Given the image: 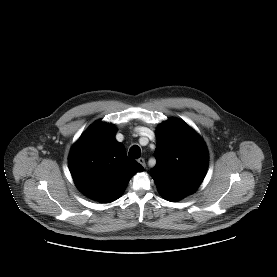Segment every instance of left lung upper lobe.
Masks as SVG:
<instances>
[{
  "instance_id": "1",
  "label": "left lung upper lobe",
  "mask_w": 277,
  "mask_h": 277,
  "mask_svg": "<svg viewBox=\"0 0 277 277\" xmlns=\"http://www.w3.org/2000/svg\"><path fill=\"white\" fill-rule=\"evenodd\" d=\"M157 163L151 174L164 197L182 199L201 184L208 167V152L201 137L176 118L162 123L156 132Z\"/></svg>"
}]
</instances>
